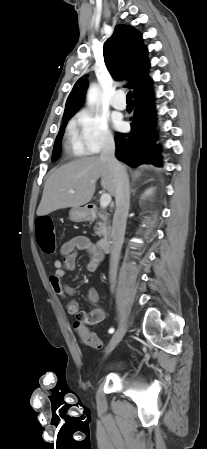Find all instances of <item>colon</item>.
I'll return each instance as SVG.
<instances>
[{"label":"colon","mask_w":207,"mask_h":449,"mask_svg":"<svg viewBox=\"0 0 207 449\" xmlns=\"http://www.w3.org/2000/svg\"><path fill=\"white\" fill-rule=\"evenodd\" d=\"M36 235L39 247L44 253L55 251V235L52 221L47 217H39L36 220ZM74 328L83 339L84 343L93 348L101 347L100 338L90 331L80 319L75 320Z\"/></svg>","instance_id":"obj_1"}]
</instances>
